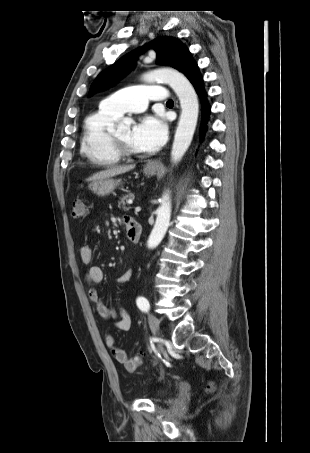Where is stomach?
Segmentation results:
<instances>
[{"label": "stomach", "instance_id": "obj_1", "mask_svg": "<svg viewBox=\"0 0 310 453\" xmlns=\"http://www.w3.org/2000/svg\"><path fill=\"white\" fill-rule=\"evenodd\" d=\"M157 170H158L157 168H150L148 166H145L143 169L144 174L147 176L154 175L157 172ZM118 184L119 182L117 180H114L112 178H105L93 181L89 185V188L93 193L99 196H105L113 192V190L117 187Z\"/></svg>", "mask_w": 310, "mask_h": 453}]
</instances>
